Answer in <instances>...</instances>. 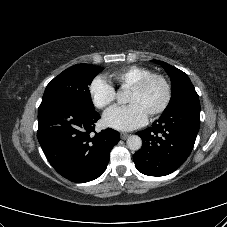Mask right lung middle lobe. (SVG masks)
I'll return each mask as SVG.
<instances>
[{
	"label": "right lung middle lobe",
	"instance_id": "1",
	"mask_svg": "<svg viewBox=\"0 0 227 227\" xmlns=\"http://www.w3.org/2000/svg\"><path fill=\"white\" fill-rule=\"evenodd\" d=\"M102 70V67L89 64H77L69 67L47 85L42 103L65 99L83 108L95 110L89 85Z\"/></svg>",
	"mask_w": 227,
	"mask_h": 227
}]
</instances>
